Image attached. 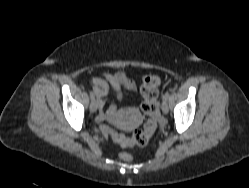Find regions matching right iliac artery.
<instances>
[{"mask_svg": "<svg viewBox=\"0 0 249 188\" xmlns=\"http://www.w3.org/2000/svg\"><path fill=\"white\" fill-rule=\"evenodd\" d=\"M90 97H91V99L94 98V93L92 91H90Z\"/></svg>", "mask_w": 249, "mask_h": 188, "instance_id": "1", "label": "right iliac artery"}]
</instances>
